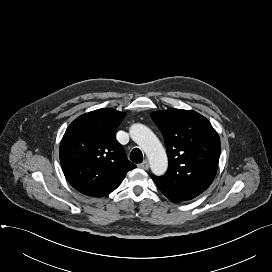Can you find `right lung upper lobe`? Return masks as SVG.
<instances>
[{
	"mask_svg": "<svg viewBox=\"0 0 272 272\" xmlns=\"http://www.w3.org/2000/svg\"><path fill=\"white\" fill-rule=\"evenodd\" d=\"M125 115L112 108L98 109L79 116L67 128L59 148L60 163L80 193L105 196L136 168L115 137Z\"/></svg>",
	"mask_w": 272,
	"mask_h": 272,
	"instance_id": "right-lung-upper-lobe-1",
	"label": "right lung upper lobe"
}]
</instances>
